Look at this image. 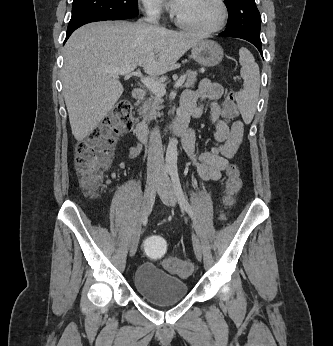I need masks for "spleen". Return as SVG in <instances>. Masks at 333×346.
Segmentation results:
<instances>
[{"instance_id":"spleen-1","label":"spleen","mask_w":333,"mask_h":346,"mask_svg":"<svg viewBox=\"0 0 333 346\" xmlns=\"http://www.w3.org/2000/svg\"><path fill=\"white\" fill-rule=\"evenodd\" d=\"M239 63L244 84L243 90L236 94L235 99L244 122L250 123L254 117L259 97V66L250 51L244 47L239 50Z\"/></svg>"}]
</instances>
